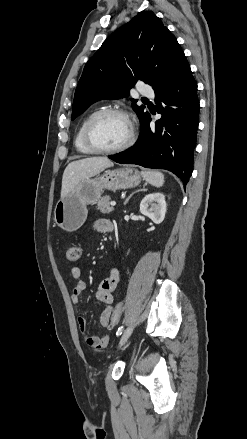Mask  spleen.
I'll use <instances>...</instances> for the list:
<instances>
[{
    "instance_id": "obj_1",
    "label": "spleen",
    "mask_w": 247,
    "mask_h": 439,
    "mask_svg": "<svg viewBox=\"0 0 247 439\" xmlns=\"http://www.w3.org/2000/svg\"><path fill=\"white\" fill-rule=\"evenodd\" d=\"M144 180L155 187H161L164 184V175L158 171H141Z\"/></svg>"
}]
</instances>
